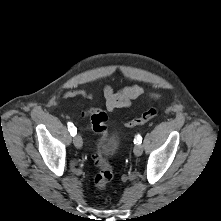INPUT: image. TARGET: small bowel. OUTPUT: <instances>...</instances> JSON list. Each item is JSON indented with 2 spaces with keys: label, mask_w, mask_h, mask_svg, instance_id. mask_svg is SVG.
Returning a JSON list of instances; mask_svg holds the SVG:
<instances>
[{
  "label": "small bowel",
  "mask_w": 221,
  "mask_h": 221,
  "mask_svg": "<svg viewBox=\"0 0 221 221\" xmlns=\"http://www.w3.org/2000/svg\"><path fill=\"white\" fill-rule=\"evenodd\" d=\"M141 94L142 89L136 84L126 86L118 91L107 86L104 89L106 108L109 111H113L117 108L128 107L130 106L131 101L139 97ZM77 95L87 96L88 94L84 90H70L65 93L66 98H71Z\"/></svg>",
  "instance_id": "small-bowel-1"
}]
</instances>
